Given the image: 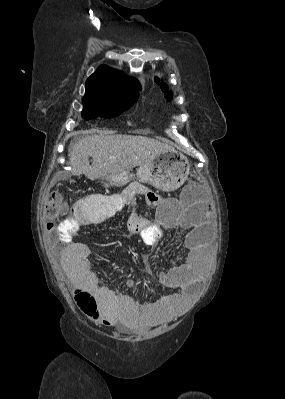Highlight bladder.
Masks as SVG:
<instances>
[{"mask_svg": "<svg viewBox=\"0 0 285 399\" xmlns=\"http://www.w3.org/2000/svg\"><path fill=\"white\" fill-rule=\"evenodd\" d=\"M119 329L122 332H129V331L135 330V327L126 322H120Z\"/></svg>", "mask_w": 285, "mask_h": 399, "instance_id": "1", "label": "bladder"}]
</instances>
